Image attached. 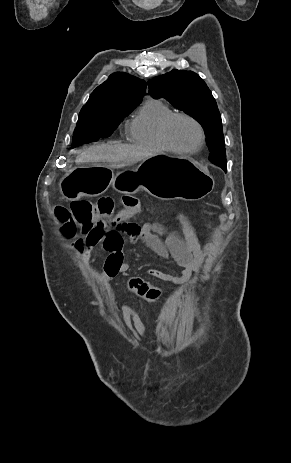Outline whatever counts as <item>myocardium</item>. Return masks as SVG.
<instances>
[{
  "label": "myocardium",
  "instance_id": "myocardium-1",
  "mask_svg": "<svg viewBox=\"0 0 291 463\" xmlns=\"http://www.w3.org/2000/svg\"><path fill=\"white\" fill-rule=\"evenodd\" d=\"M179 118H183L192 122L198 129L199 132V141L196 146L184 149L178 147L170 138L169 131L172 123ZM161 137L165 145L173 152L180 153V154H195L202 149L205 144V130L202 124L193 116L186 114V113H174L169 116L162 124L161 127Z\"/></svg>",
  "mask_w": 291,
  "mask_h": 463
}]
</instances>
